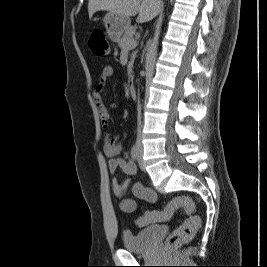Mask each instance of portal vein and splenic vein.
Returning a JSON list of instances; mask_svg holds the SVG:
<instances>
[{
  "label": "portal vein and splenic vein",
  "mask_w": 267,
  "mask_h": 267,
  "mask_svg": "<svg viewBox=\"0 0 267 267\" xmlns=\"http://www.w3.org/2000/svg\"><path fill=\"white\" fill-rule=\"evenodd\" d=\"M134 46L135 44L133 42L129 45V47H134Z\"/></svg>",
  "instance_id": "obj_1"
}]
</instances>
